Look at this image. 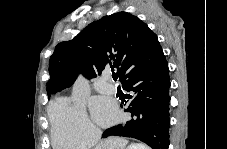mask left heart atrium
Segmentation results:
<instances>
[{"mask_svg":"<svg viewBox=\"0 0 227 149\" xmlns=\"http://www.w3.org/2000/svg\"><path fill=\"white\" fill-rule=\"evenodd\" d=\"M94 119L100 125L111 124L117 117V108L114 102L105 97H96L90 104Z\"/></svg>","mask_w":227,"mask_h":149,"instance_id":"1","label":"left heart atrium"}]
</instances>
